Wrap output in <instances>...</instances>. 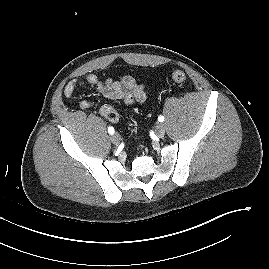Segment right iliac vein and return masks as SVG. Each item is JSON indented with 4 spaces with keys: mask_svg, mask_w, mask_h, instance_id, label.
<instances>
[{
    "mask_svg": "<svg viewBox=\"0 0 269 269\" xmlns=\"http://www.w3.org/2000/svg\"><path fill=\"white\" fill-rule=\"evenodd\" d=\"M110 139H111V142L113 144H119L120 143V140H121V137L118 133H113L111 136H110Z\"/></svg>",
    "mask_w": 269,
    "mask_h": 269,
    "instance_id": "63e3f726",
    "label": "right iliac vein"
}]
</instances>
